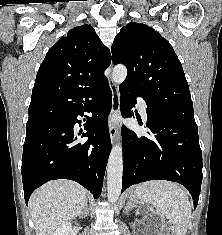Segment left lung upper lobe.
Instances as JSON below:
<instances>
[{
    "mask_svg": "<svg viewBox=\"0 0 222 235\" xmlns=\"http://www.w3.org/2000/svg\"><path fill=\"white\" fill-rule=\"evenodd\" d=\"M112 61L128 73L121 84L141 96L151 109L194 120L193 103L182 65L170 43L151 27L131 22L112 44Z\"/></svg>",
    "mask_w": 222,
    "mask_h": 235,
    "instance_id": "left-lung-upper-lobe-1",
    "label": "left lung upper lobe"
}]
</instances>
